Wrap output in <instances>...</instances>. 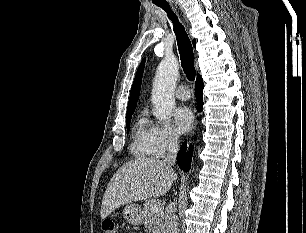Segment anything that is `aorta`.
<instances>
[{
    "label": "aorta",
    "mask_w": 306,
    "mask_h": 233,
    "mask_svg": "<svg viewBox=\"0 0 306 233\" xmlns=\"http://www.w3.org/2000/svg\"><path fill=\"white\" fill-rule=\"evenodd\" d=\"M179 74L178 61L174 56L165 57L159 64L152 90L154 115L157 119L167 122L175 107L174 90Z\"/></svg>",
    "instance_id": "1"
}]
</instances>
